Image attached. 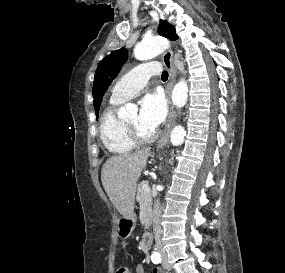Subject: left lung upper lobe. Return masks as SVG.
I'll list each match as a JSON object with an SVG mask.
<instances>
[{
    "mask_svg": "<svg viewBox=\"0 0 285 273\" xmlns=\"http://www.w3.org/2000/svg\"><path fill=\"white\" fill-rule=\"evenodd\" d=\"M158 34L171 40L178 38L175 28L168 22H160ZM127 57V50L121 48L104 58L97 67L93 83L94 108L97 118L103 94L120 71L121 66L126 62Z\"/></svg>",
    "mask_w": 285,
    "mask_h": 273,
    "instance_id": "obj_1",
    "label": "left lung upper lobe"
}]
</instances>
